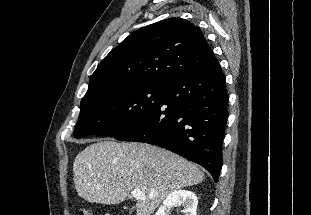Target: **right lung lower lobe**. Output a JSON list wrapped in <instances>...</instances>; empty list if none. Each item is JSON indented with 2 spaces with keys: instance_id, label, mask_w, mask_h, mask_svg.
<instances>
[{
  "instance_id": "98d812e1",
  "label": "right lung lower lobe",
  "mask_w": 311,
  "mask_h": 215,
  "mask_svg": "<svg viewBox=\"0 0 311 215\" xmlns=\"http://www.w3.org/2000/svg\"><path fill=\"white\" fill-rule=\"evenodd\" d=\"M163 88L160 105L115 139L166 148L203 166L217 182L229 99L219 62L176 77Z\"/></svg>"
}]
</instances>
